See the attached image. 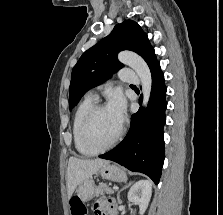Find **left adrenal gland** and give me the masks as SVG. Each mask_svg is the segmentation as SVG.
<instances>
[{"instance_id":"left-adrenal-gland-1","label":"left adrenal gland","mask_w":223,"mask_h":215,"mask_svg":"<svg viewBox=\"0 0 223 215\" xmlns=\"http://www.w3.org/2000/svg\"><path fill=\"white\" fill-rule=\"evenodd\" d=\"M132 181H129V183H126V185H123V187H121V189H119L118 193H117V201L118 203H122V199H120V193L121 191H123V189H126V187H129V185H131Z\"/></svg>"}]
</instances>
